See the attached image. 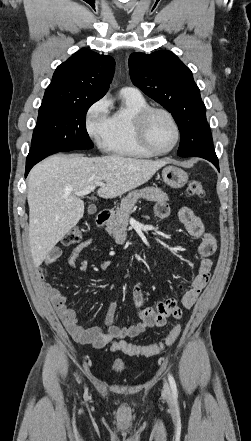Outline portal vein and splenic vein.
I'll list each match as a JSON object with an SVG mask.
<instances>
[{
  "label": "portal vein and splenic vein",
  "instance_id": "1",
  "mask_svg": "<svg viewBox=\"0 0 251 441\" xmlns=\"http://www.w3.org/2000/svg\"><path fill=\"white\" fill-rule=\"evenodd\" d=\"M97 186H99V187H105V184H104L103 182H97V183H95V184L92 185V186H88V187H86L85 189H83V190H81V191L75 192V195H76V196H85V195L91 193L92 191H94V189H95Z\"/></svg>",
  "mask_w": 251,
  "mask_h": 441
}]
</instances>
